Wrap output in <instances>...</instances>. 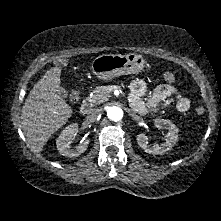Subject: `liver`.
<instances>
[{
    "mask_svg": "<svg viewBox=\"0 0 221 221\" xmlns=\"http://www.w3.org/2000/svg\"><path fill=\"white\" fill-rule=\"evenodd\" d=\"M61 67H53L34 85L21 112V127L31 150L40 153L48 139L71 117L59 95Z\"/></svg>",
    "mask_w": 221,
    "mask_h": 221,
    "instance_id": "6515ba94",
    "label": "liver"
}]
</instances>
